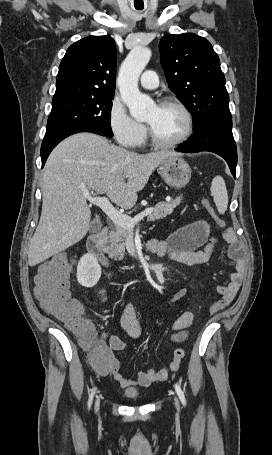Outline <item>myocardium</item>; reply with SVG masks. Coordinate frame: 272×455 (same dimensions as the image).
Masks as SVG:
<instances>
[{"mask_svg": "<svg viewBox=\"0 0 272 455\" xmlns=\"http://www.w3.org/2000/svg\"><path fill=\"white\" fill-rule=\"evenodd\" d=\"M159 107L163 106H175L177 107L184 115L185 118V130L183 134L176 140L172 142H163L159 140L153 130L151 129L149 124H146L147 126V133H148V138L151 142V144L157 148L161 149H171L180 146L183 144L185 141L189 139V137L193 133L194 129V120L191 111L188 109V107L182 103L180 100L172 97H166L163 98L162 100L159 101L158 105Z\"/></svg>", "mask_w": 272, "mask_h": 455, "instance_id": "obj_1", "label": "myocardium"}]
</instances>
